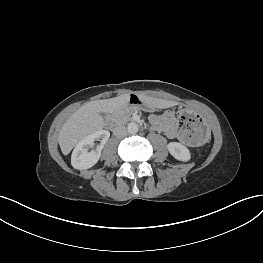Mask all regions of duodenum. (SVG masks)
Wrapping results in <instances>:
<instances>
[{
	"instance_id": "obj_1",
	"label": "duodenum",
	"mask_w": 263,
	"mask_h": 263,
	"mask_svg": "<svg viewBox=\"0 0 263 263\" xmlns=\"http://www.w3.org/2000/svg\"><path fill=\"white\" fill-rule=\"evenodd\" d=\"M106 125H107V127H109V128H113V127H114L115 121H114V118H113L112 115H108V116L106 117Z\"/></svg>"
}]
</instances>
